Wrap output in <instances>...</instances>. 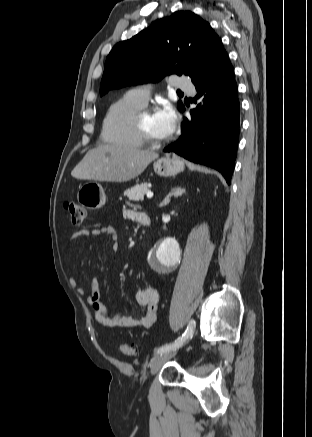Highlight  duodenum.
Returning a JSON list of instances; mask_svg holds the SVG:
<instances>
[{
  "mask_svg": "<svg viewBox=\"0 0 312 437\" xmlns=\"http://www.w3.org/2000/svg\"><path fill=\"white\" fill-rule=\"evenodd\" d=\"M141 224H143L146 227H151L152 223H151V220L147 214L143 215V218L141 220Z\"/></svg>",
  "mask_w": 312,
  "mask_h": 437,
  "instance_id": "1",
  "label": "duodenum"
}]
</instances>
